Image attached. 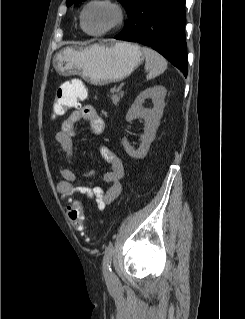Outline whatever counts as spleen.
Here are the masks:
<instances>
[{
  "label": "spleen",
  "instance_id": "obj_1",
  "mask_svg": "<svg viewBox=\"0 0 245 319\" xmlns=\"http://www.w3.org/2000/svg\"><path fill=\"white\" fill-rule=\"evenodd\" d=\"M145 56V69L148 71L147 80L153 79L167 69V62L163 56L149 47H142Z\"/></svg>",
  "mask_w": 245,
  "mask_h": 319
}]
</instances>
